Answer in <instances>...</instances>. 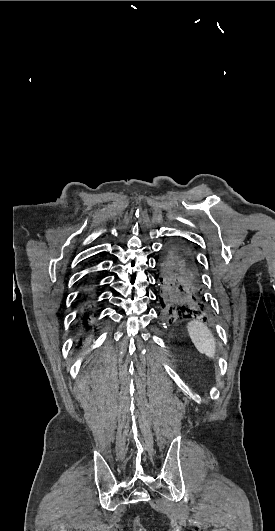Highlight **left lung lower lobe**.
I'll list each match as a JSON object with an SVG mask.
<instances>
[{
  "label": "left lung lower lobe",
  "instance_id": "0a47b994",
  "mask_svg": "<svg viewBox=\"0 0 275 531\" xmlns=\"http://www.w3.org/2000/svg\"><path fill=\"white\" fill-rule=\"evenodd\" d=\"M159 299L166 319L183 315L211 316L192 248L183 240L169 243L158 261Z\"/></svg>",
  "mask_w": 275,
  "mask_h": 531
}]
</instances>
